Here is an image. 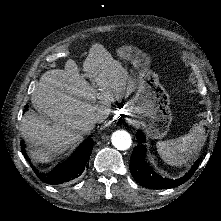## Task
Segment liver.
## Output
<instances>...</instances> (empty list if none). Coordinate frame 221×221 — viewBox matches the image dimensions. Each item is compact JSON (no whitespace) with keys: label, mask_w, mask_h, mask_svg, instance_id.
Segmentation results:
<instances>
[{"label":"liver","mask_w":221,"mask_h":221,"mask_svg":"<svg viewBox=\"0 0 221 221\" xmlns=\"http://www.w3.org/2000/svg\"><path fill=\"white\" fill-rule=\"evenodd\" d=\"M83 68L95 75L99 101L90 91L91 85L79 77L72 60L65 63L64 69H52L41 76L31 95L32 104L40 112L25 113L20 124L33 162L56 161L93 130L92 115L105 110L100 124L108 118L112 105L108 98L119 99L124 94L126 74L101 45L90 46Z\"/></svg>","instance_id":"6515ba94"}]
</instances>
